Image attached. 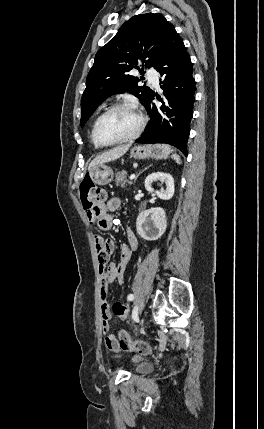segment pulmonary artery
Returning <instances> with one entry per match:
<instances>
[{
	"label": "pulmonary artery",
	"mask_w": 264,
	"mask_h": 429,
	"mask_svg": "<svg viewBox=\"0 0 264 429\" xmlns=\"http://www.w3.org/2000/svg\"><path fill=\"white\" fill-rule=\"evenodd\" d=\"M147 78L149 80V82L156 88L159 87V78H158V73L153 69L150 68L147 70L146 72Z\"/></svg>",
	"instance_id": "e3ab8cb5"
}]
</instances>
